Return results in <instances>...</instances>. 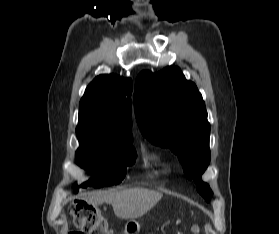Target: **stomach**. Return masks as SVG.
I'll return each mask as SVG.
<instances>
[{"label": "stomach", "mask_w": 279, "mask_h": 234, "mask_svg": "<svg viewBox=\"0 0 279 234\" xmlns=\"http://www.w3.org/2000/svg\"><path fill=\"white\" fill-rule=\"evenodd\" d=\"M140 231V225L136 220H130L125 225V234H137Z\"/></svg>", "instance_id": "0dacf381"}]
</instances>
